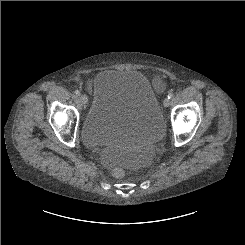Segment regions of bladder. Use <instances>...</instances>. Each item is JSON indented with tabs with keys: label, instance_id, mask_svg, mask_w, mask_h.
<instances>
[{
	"label": "bladder",
	"instance_id": "1",
	"mask_svg": "<svg viewBox=\"0 0 245 245\" xmlns=\"http://www.w3.org/2000/svg\"><path fill=\"white\" fill-rule=\"evenodd\" d=\"M163 129L159 99L144 74L117 69L98 74L80 129L84 145L135 146L154 140Z\"/></svg>",
	"mask_w": 245,
	"mask_h": 245
}]
</instances>
